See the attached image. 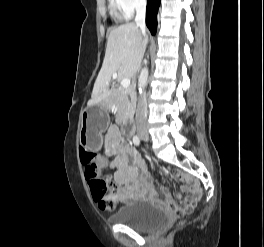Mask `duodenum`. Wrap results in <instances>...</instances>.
Here are the masks:
<instances>
[{
    "label": "duodenum",
    "mask_w": 264,
    "mask_h": 247,
    "mask_svg": "<svg viewBox=\"0 0 264 247\" xmlns=\"http://www.w3.org/2000/svg\"><path fill=\"white\" fill-rule=\"evenodd\" d=\"M109 102L106 101V104H108ZM125 126L128 129L129 132H133L134 130V121L131 117L127 118L126 122H125Z\"/></svg>",
    "instance_id": "obj_1"
}]
</instances>
